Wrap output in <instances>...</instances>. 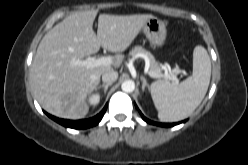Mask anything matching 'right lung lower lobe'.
I'll return each instance as SVG.
<instances>
[{
  "label": "right lung lower lobe",
  "instance_id": "obj_1",
  "mask_svg": "<svg viewBox=\"0 0 248 165\" xmlns=\"http://www.w3.org/2000/svg\"><path fill=\"white\" fill-rule=\"evenodd\" d=\"M106 108H107V106H105V108L98 115H96L93 118L84 119V120H76V121L59 119V118H56L50 114H47V115L51 119H53L54 121L58 122L59 124L65 126V127L74 128V129H86V128L97 125L101 121V119H102V117L106 111Z\"/></svg>",
  "mask_w": 248,
  "mask_h": 165
}]
</instances>
